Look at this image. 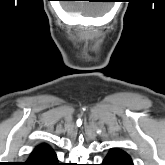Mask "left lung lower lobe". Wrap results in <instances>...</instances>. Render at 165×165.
<instances>
[{"label": "left lung lower lobe", "mask_w": 165, "mask_h": 165, "mask_svg": "<svg viewBox=\"0 0 165 165\" xmlns=\"http://www.w3.org/2000/svg\"><path fill=\"white\" fill-rule=\"evenodd\" d=\"M101 165H133L128 154L119 149H112Z\"/></svg>", "instance_id": "0a47b994"}]
</instances>
